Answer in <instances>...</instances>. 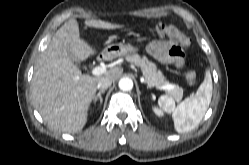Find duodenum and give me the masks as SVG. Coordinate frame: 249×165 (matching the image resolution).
Instances as JSON below:
<instances>
[{"instance_id": "duodenum-1", "label": "duodenum", "mask_w": 249, "mask_h": 165, "mask_svg": "<svg viewBox=\"0 0 249 165\" xmlns=\"http://www.w3.org/2000/svg\"><path fill=\"white\" fill-rule=\"evenodd\" d=\"M98 59L99 60H104L105 59V55H100Z\"/></svg>"}]
</instances>
